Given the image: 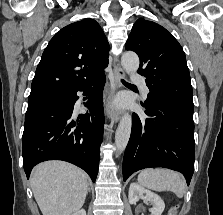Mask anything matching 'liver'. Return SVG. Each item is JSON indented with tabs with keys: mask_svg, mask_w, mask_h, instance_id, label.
<instances>
[{
	"mask_svg": "<svg viewBox=\"0 0 223 215\" xmlns=\"http://www.w3.org/2000/svg\"><path fill=\"white\" fill-rule=\"evenodd\" d=\"M30 185L43 215H70L82 207L86 173L66 161H43L33 169Z\"/></svg>",
	"mask_w": 223,
	"mask_h": 215,
	"instance_id": "1",
	"label": "liver"
}]
</instances>
